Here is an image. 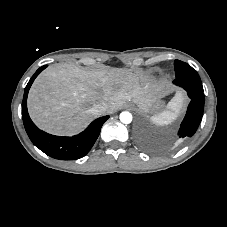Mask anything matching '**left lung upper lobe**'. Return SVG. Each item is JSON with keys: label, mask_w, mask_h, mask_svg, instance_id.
Here are the masks:
<instances>
[{"label": "left lung upper lobe", "mask_w": 227, "mask_h": 227, "mask_svg": "<svg viewBox=\"0 0 227 227\" xmlns=\"http://www.w3.org/2000/svg\"><path fill=\"white\" fill-rule=\"evenodd\" d=\"M174 67L176 78L200 79L198 73L185 62L175 60Z\"/></svg>", "instance_id": "obj_1"}]
</instances>
